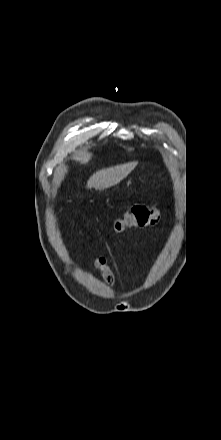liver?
Listing matches in <instances>:
<instances>
[{"label":"liver","mask_w":221,"mask_h":440,"mask_svg":"<svg viewBox=\"0 0 221 440\" xmlns=\"http://www.w3.org/2000/svg\"><path fill=\"white\" fill-rule=\"evenodd\" d=\"M137 164L138 162L133 161L123 165L99 170L89 178L86 188H95V190L100 191L117 185L137 166Z\"/></svg>","instance_id":"1"}]
</instances>
